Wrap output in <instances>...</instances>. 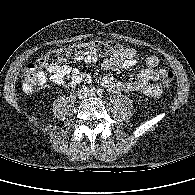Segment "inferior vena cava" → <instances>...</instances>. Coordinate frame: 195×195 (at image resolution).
I'll return each instance as SVG.
<instances>
[{
  "mask_svg": "<svg viewBox=\"0 0 195 195\" xmlns=\"http://www.w3.org/2000/svg\"><path fill=\"white\" fill-rule=\"evenodd\" d=\"M81 92H82V97L83 98L92 95V92L89 89H83Z\"/></svg>",
  "mask_w": 195,
  "mask_h": 195,
  "instance_id": "1",
  "label": "inferior vena cava"
}]
</instances>
